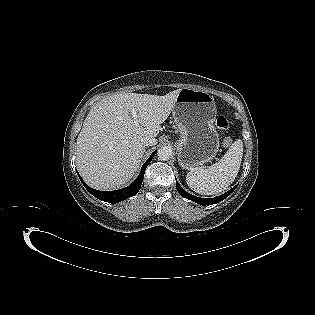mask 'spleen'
<instances>
[{
	"label": "spleen",
	"mask_w": 315,
	"mask_h": 315,
	"mask_svg": "<svg viewBox=\"0 0 315 315\" xmlns=\"http://www.w3.org/2000/svg\"><path fill=\"white\" fill-rule=\"evenodd\" d=\"M243 142L236 140L226 154L210 168H195L186 176L191 190L202 195L219 194L235 180L242 161Z\"/></svg>",
	"instance_id": "1"
}]
</instances>
